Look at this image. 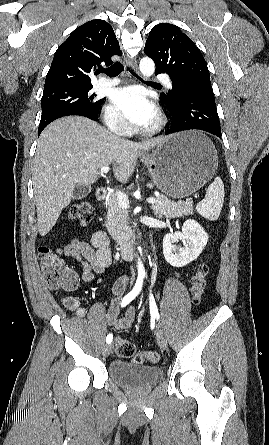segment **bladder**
<instances>
[{"instance_id":"obj_1","label":"bladder","mask_w":269,"mask_h":445,"mask_svg":"<svg viewBox=\"0 0 269 445\" xmlns=\"http://www.w3.org/2000/svg\"><path fill=\"white\" fill-rule=\"evenodd\" d=\"M111 380L120 387L130 390H144L162 378L159 366H140L123 360H114L108 368Z\"/></svg>"}]
</instances>
